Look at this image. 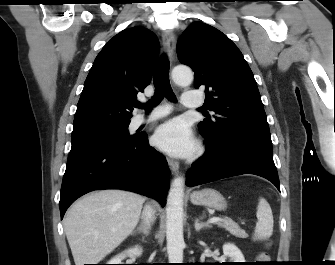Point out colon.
Instances as JSON below:
<instances>
[{
  "instance_id": "colon-1",
  "label": "colon",
  "mask_w": 335,
  "mask_h": 265,
  "mask_svg": "<svg viewBox=\"0 0 335 265\" xmlns=\"http://www.w3.org/2000/svg\"><path fill=\"white\" fill-rule=\"evenodd\" d=\"M261 258H262V259H265V258H266V256L263 254V255H261Z\"/></svg>"
}]
</instances>
